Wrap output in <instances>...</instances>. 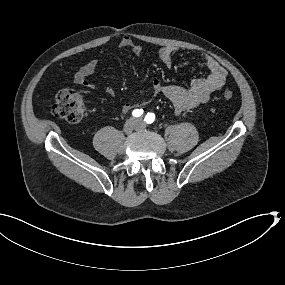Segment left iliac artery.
I'll return each mask as SVG.
<instances>
[{"instance_id": "1", "label": "left iliac artery", "mask_w": 285, "mask_h": 285, "mask_svg": "<svg viewBox=\"0 0 285 285\" xmlns=\"http://www.w3.org/2000/svg\"><path fill=\"white\" fill-rule=\"evenodd\" d=\"M155 120V114L154 113H147L145 116L144 121L148 124H151Z\"/></svg>"}]
</instances>
